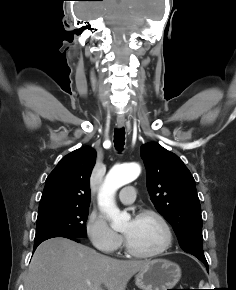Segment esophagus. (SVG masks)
Returning a JSON list of instances; mask_svg holds the SVG:
<instances>
[{
    "label": "esophagus",
    "mask_w": 236,
    "mask_h": 290,
    "mask_svg": "<svg viewBox=\"0 0 236 290\" xmlns=\"http://www.w3.org/2000/svg\"><path fill=\"white\" fill-rule=\"evenodd\" d=\"M125 124V118L124 116L122 115H118L117 116V119H116V125L119 127V128H122Z\"/></svg>",
    "instance_id": "34e87169"
}]
</instances>
